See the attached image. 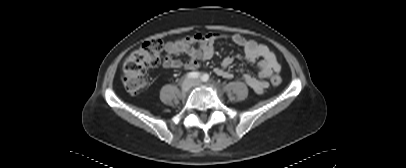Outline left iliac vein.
<instances>
[{
    "mask_svg": "<svg viewBox=\"0 0 406 168\" xmlns=\"http://www.w3.org/2000/svg\"><path fill=\"white\" fill-rule=\"evenodd\" d=\"M193 84L197 86V85H200L201 83H200V81L195 80V81H193Z\"/></svg>",
    "mask_w": 406,
    "mask_h": 168,
    "instance_id": "obj_1",
    "label": "left iliac vein"
}]
</instances>
